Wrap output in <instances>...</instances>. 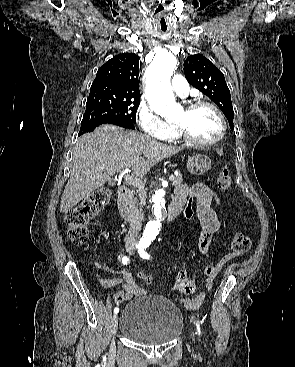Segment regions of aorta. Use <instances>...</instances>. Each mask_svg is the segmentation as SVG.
<instances>
[{
	"label": "aorta",
	"instance_id": "762f6f07",
	"mask_svg": "<svg viewBox=\"0 0 295 367\" xmlns=\"http://www.w3.org/2000/svg\"><path fill=\"white\" fill-rule=\"evenodd\" d=\"M176 57L170 52H162L155 57L146 70V91L151 109L164 118H170L180 111L171 89L170 78L176 67ZM155 218L146 224L142 240L152 242L159 234L164 209L163 196L156 190L152 197Z\"/></svg>",
	"mask_w": 295,
	"mask_h": 367
}]
</instances>
